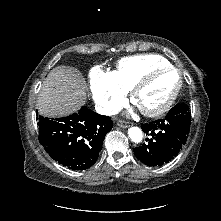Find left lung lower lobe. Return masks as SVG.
Returning <instances> with one entry per match:
<instances>
[{
	"instance_id": "1",
	"label": "left lung lower lobe",
	"mask_w": 221,
	"mask_h": 221,
	"mask_svg": "<svg viewBox=\"0 0 221 221\" xmlns=\"http://www.w3.org/2000/svg\"><path fill=\"white\" fill-rule=\"evenodd\" d=\"M190 124L191 113L185 103L176 104L161 119L141 124L148 138L142 146L134 148L135 156L147 166L168 163L186 143Z\"/></svg>"
}]
</instances>
